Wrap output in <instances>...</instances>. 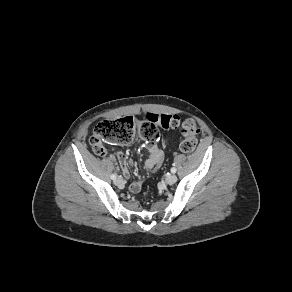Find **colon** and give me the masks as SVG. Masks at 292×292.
Here are the masks:
<instances>
[{
	"instance_id": "obj_1",
	"label": "colon",
	"mask_w": 292,
	"mask_h": 292,
	"mask_svg": "<svg viewBox=\"0 0 292 292\" xmlns=\"http://www.w3.org/2000/svg\"><path fill=\"white\" fill-rule=\"evenodd\" d=\"M159 126L181 129L183 140L180 144V150L182 152L190 153L196 149V135L199 130L193 119H181L178 116L168 115L159 116L153 113H147L141 120L132 117L103 120L96 125L90 143L94 151L101 154L105 150L104 143L127 144L137 135L149 142H156L159 138Z\"/></svg>"
}]
</instances>
